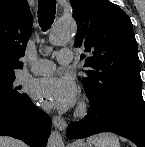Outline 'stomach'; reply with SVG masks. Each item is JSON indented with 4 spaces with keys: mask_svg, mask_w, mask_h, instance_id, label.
<instances>
[{
    "mask_svg": "<svg viewBox=\"0 0 145 147\" xmlns=\"http://www.w3.org/2000/svg\"><path fill=\"white\" fill-rule=\"evenodd\" d=\"M85 147H91V145L90 144H86Z\"/></svg>",
    "mask_w": 145,
    "mask_h": 147,
    "instance_id": "stomach-1",
    "label": "stomach"
}]
</instances>
